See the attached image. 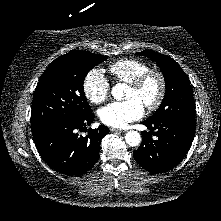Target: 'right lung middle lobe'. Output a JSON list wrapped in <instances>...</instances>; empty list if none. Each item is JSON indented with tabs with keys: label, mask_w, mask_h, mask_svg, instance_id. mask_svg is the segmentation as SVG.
<instances>
[{
	"label": "right lung middle lobe",
	"mask_w": 221,
	"mask_h": 221,
	"mask_svg": "<svg viewBox=\"0 0 221 221\" xmlns=\"http://www.w3.org/2000/svg\"><path fill=\"white\" fill-rule=\"evenodd\" d=\"M89 52L72 51L55 59L39 79L33 95L32 134L51 123L91 112L83 91L88 72L106 60Z\"/></svg>",
	"instance_id": "dd1d6c3e"
}]
</instances>
